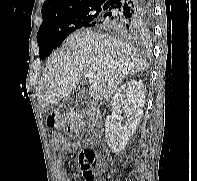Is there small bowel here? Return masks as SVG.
Segmentation results:
<instances>
[{
    "mask_svg": "<svg viewBox=\"0 0 197 181\" xmlns=\"http://www.w3.org/2000/svg\"><path fill=\"white\" fill-rule=\"evenodd\" d=\"M79 148L80 144L77 142H65L63 144L61 153L55 159V168L60 181H71L70 177L65 173V170L63 168L64 154L78 150Z\"/></svg>",
    "mask_w": 197,
    "mask_h": 181,
    "instance_id": "1",
    "label": "small bowel"
}]
</instances>
